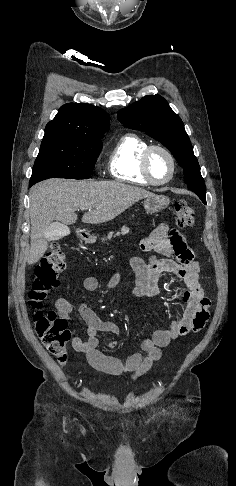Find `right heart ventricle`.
Wrapping results in <instances>:
<instances>
[{
	"instance_id": "e07e8e85",
	"label": "right heart ventricle",
	"mask_w": 236,
	"mask_h": 486,
	"mask_svg": "<svg viewBox=\"0 0 236 486\" xmlns=\"http://www.w3.org/2000/svg\"><path fill=\"white\" fill-rule=\"evenodd\" d=\"M149 143L137 134L123 135L114 145L109 155V170L111 175L122 182L133 185L147 186L140 161L143 151Z\"/></svg>"
}]
</instances>
